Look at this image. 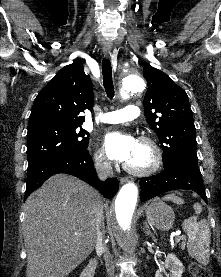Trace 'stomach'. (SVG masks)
Wrapping results in <instances>:
<instances>
[{
	"mask_svg": "<svg viewBox=\"0 0 221 277\" xmlns=\"http://www.w3.org/2000/svg\"><path fill=\"white\" fill-rule=\"evenodd\" d=\"M146 219L152 226L161 230L172 228L175 220L173 209L161 201L159 198L154 199L145 209Z\"/></svg>",
	"mask_w": 221,
	"mask_h": 277,
	"instance_id": "1",
	"label": "stomach"
}]
</instances>
